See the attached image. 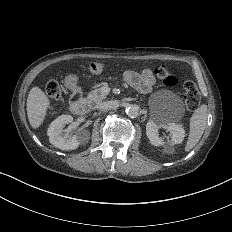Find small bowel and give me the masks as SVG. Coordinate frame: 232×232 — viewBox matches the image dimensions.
I'll use <instances>...</instances> for the list:
<instances>
[{"label": "small bowel", "mask_w": 232, "mask_h": 232, "mask_svg": "<svg viewBox=\"0 0 232 232\" xmlns=\"http://www.w3.org/2000/svg\"><path fill=\"white\" fill-rule=\"evenodd\" d=\"M123 75L124 78L142 94L150 93L159 85L158 79L151 70H145L142 73L127 70Z\"/></svg>", "instance_id": "obj_1"}]
</instances>
